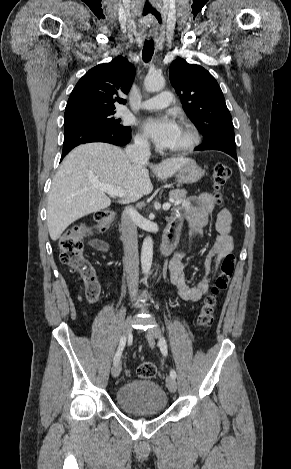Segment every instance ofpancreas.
<instances>
[{
    "label": "pancreas",
    "mask_w": 291,
    "mask_h": 469,
    "mask_svg": "<svg viewBox=\"0 0 291 469\" xmlns=\"http://www.w3.org/2000/svg\"><path fill=\"white\" fill-rule=\"evenodd\" d=\"M187 191L184 189H175L169 192V197L174 200V205H179L186 199Z\"/></svg>",
    "instance_id": "obj_1"
}]
</instances>
